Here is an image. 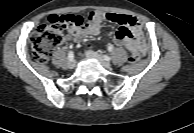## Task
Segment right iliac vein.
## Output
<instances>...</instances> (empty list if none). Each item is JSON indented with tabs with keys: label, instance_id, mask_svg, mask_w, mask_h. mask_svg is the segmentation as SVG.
I'll return each instance as SVG.
<instances>
[{
	"label": "right iliac vein",
	"instance_id": "63e3f726",
	"mask_svg": "<svg viewBox=\"0 0 194 133\" xmlns=\"http://www.w3.org/2000/svg\"><path fill=\"white\" fill-rule=\"evenodd\" d=\"M75 65H76L75 60H69L68 63H67V67L69 69H73L75 67Z\"/></svg>",
	"mask_w": 194,
	"mask_h": 133
}]
</instances>
